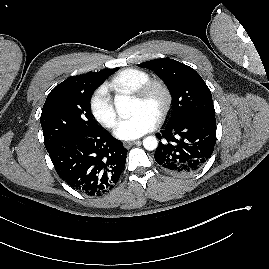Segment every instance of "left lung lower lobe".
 <instances>
[{
    "label": "left lung lower lobe",
    "instance_id": "0a47b994",
    "mask_svg": "<svg viewBox=\"0 0 269 269\" xmlns=\"http://www.w3.org/2000/svg\"><path fill=\"white\" fill-rule=\"evenodd\" d=\"M160 139L156 162L175 175H189L201 169L211 157L216 143V118L191 116L157 134Z\"/></svg>",
    "mask_w": 269,
    "mask_h": 269
}]
</instances>
